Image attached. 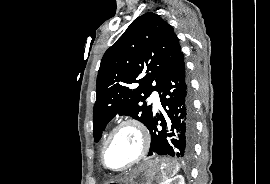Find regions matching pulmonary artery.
Listing matches in <instances>:
<instances>
[{"instance_id":"obj_1","label":"pulmonary artery","mask_w":270,"mask_h":184,"mask_svg":"<svg viewBox=\"0 0 270 184\" xmlns=\"http://www.w3.org/2000/svg\"><path fill=\"white\" fill-rule=\"evenodd\" d=\"M150 100L153 102L155 108H159L161 106L159 96L156 92L152 93Z\"/></svg>"}]
</instances>
